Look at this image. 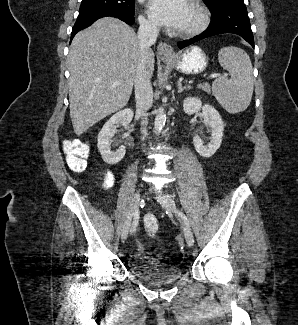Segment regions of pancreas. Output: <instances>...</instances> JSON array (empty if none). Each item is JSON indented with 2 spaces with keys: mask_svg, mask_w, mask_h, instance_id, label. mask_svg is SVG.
Here are the masks:
<instances>
[{
  "mask_svg": "<svg viewBox=\"0 0 298 325\" xmlns=\"http://www.w3.org/2000/svg\"><path fill=\"white\" fill-rule=\"evenodd\" d=\"M198 88H202L204 92L211 94V84H209V82H202V84H198Z\"/></svg>",
  "mask_w": 298,
  "mask_h": 325,
  "instance_id": "1",
  "label": "pancreas"
}]
</instances>
